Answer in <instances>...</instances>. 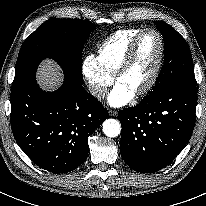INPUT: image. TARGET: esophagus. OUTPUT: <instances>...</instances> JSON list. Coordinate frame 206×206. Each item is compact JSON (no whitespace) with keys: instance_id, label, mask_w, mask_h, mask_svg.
<instances>
[{"instance_id":"34e87169","label":"esophagus","mask_w":206,"mask_h":206,"mask_svg":"<svg viewBox=\"0 0 206 206\" xmlns=\"http://www.w3.org/2000/svg\"><path fill=\"white\" fill-rule=\"evenodd\" d=\"M109 115L116 117L118 115V112L116 110H109Z\"/></svg>"}]
</instances>
